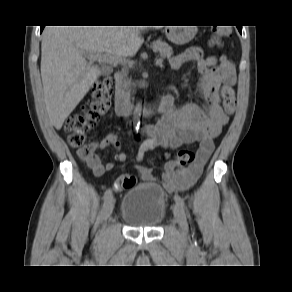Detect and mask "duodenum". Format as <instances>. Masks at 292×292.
<instances>
[{
    "label": "duodenum",
    "mask_w": 292,
    "mask_h": 292,
    "mask_svg": "<svg viewBox=\"0 0 292 292\" xmlns=\"http://www.w3.org/2000/svg\"><path fill=\"white\" fill-rule=\"evenodd\" d=\"M115 80L117 83L116 87V97H115V111L118 116H126L129 113V101L128 97L125 93L123 86V74L121 72H117L115 75ZM168 102V97H162L157 99L153 105L152 109L163 110ZM139 111L144 115L149 113L146 107H140Z\"/></svg>",
    "instance_id": "410a0bca"
}]
</instances>
